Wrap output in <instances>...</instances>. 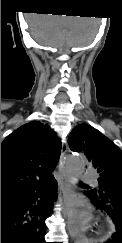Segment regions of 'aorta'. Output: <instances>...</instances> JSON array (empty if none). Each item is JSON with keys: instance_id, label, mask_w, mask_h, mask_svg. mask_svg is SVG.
<instances>
[{"instance_id": "1", "label": "aorta", "mask_w": 122, "mask_h": 243, "mask_svg": "<svg viewBox=\"0 0 122 243\" xmlns=\"http://www.w3.org/2000/svg\"><path fill=\"white\" fill-rule=\"evenodd\" d=\"M66 174L69 181L72 184H77L79 178L84 172V161L77 156H71L67 158L65 162ZM75 243H89L88 238L84 235H80Z\"/></svg>"}]
</instances>
